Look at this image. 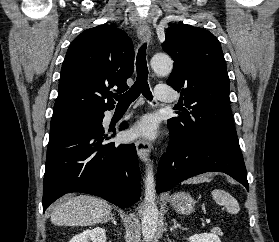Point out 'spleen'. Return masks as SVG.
Segmentation results:
<instances>
[{"instance_id": "3e777b00", "label": "spleen", "mask_w": 279, "mask_h": 242, "mask_svg": "<svg viewBox=\"0 0 279 242\" xmlns=\"http://www.w3.org/2000/svg\"><path fill=\"white\" fill-rule=\"evenodd\" d=\"M213 200L218 204L224 206L231 214H237L240 210L237 200L228 192L221 189H214L211 192Z\"/></svg>"}]
</instances>
